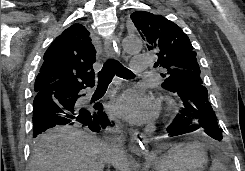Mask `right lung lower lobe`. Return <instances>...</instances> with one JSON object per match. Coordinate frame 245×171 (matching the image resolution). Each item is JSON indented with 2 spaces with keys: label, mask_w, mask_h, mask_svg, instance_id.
Masks as SVG:
<instances>
[{
  "label": "right lung lower lobe",
  "mask_w": 245,
  "mask_h": 171,
  "mask_svg": "<svg viewBox=\"0 0 245 171\" xmlns=\"http://www.w3.org/2000/svg\"><path fill=\"white\" fill-rule=\"evenodd\" d=\"M68 87L54 92H39L33 101V137L62 124H81L99 132L110 124L102 104L82 105L86 87Z\"/></svg>",
  "instance_id": "1"
}]
</instances>
